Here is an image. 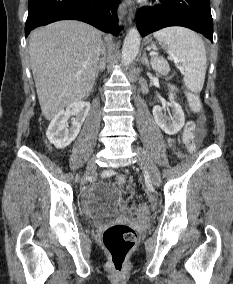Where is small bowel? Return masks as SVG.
<instances>
[{
    "label": "small bowel",
    "mask_w": 233,
    "mask_h": 284,
    "mask_svg": "<svg viewBox=\"0 0 233 284\" xmlns=\"http://www.w3.org/2000/svg\"><path fill=\"white\" fill-rule=\"evenodd\" d=\"M187 124L196 126L195 123H193V122H188Z\"/></svg>",
    "instance_id": "c3829d8e"
}]
</instances>
